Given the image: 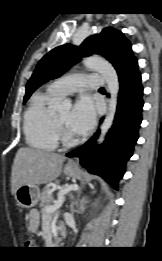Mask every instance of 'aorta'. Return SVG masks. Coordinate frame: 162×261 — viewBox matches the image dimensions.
Segmentation results:
<instances>
[{
  "label": "aorta",
  "mask_w": 162,
  "mask_h": 261,
  "mask_svg": "<svg viewBox=\"0 0 162 261\" xmlns=\"http://www.w3.org/2000/svg\"><path fill=\"white\" fill-rule=\"evenodd\" d=\"M83 63L87 68L98 71L102 75L106 81L107 90L110 94L108 113L102 123L101 134L97 140V142L101 144L105 139L106 133L113 124L116 113L117 97L120 88L118 75L114 67L103 58L92 56L84 59ZM70 106L71 101L69 99H65L58 104V109H68Z\"/></svg>",
  "instance_id": "762f6f07"
}]
</instances>
